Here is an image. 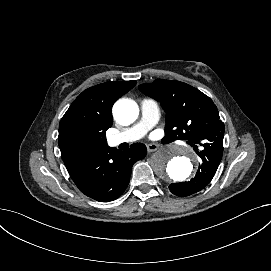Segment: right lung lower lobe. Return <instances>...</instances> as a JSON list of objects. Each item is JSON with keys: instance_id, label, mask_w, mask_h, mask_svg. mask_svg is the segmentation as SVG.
I'll use <instances>...</instances> for the list:
<instances>
[{"instance_id": "right-lung-lower-lobe-1", "label": "right lung lower lobe", "mask_w": 271, "mask_h": 271, "mask_svg": "<svg viewBox=\"0 0 271 271\" xmlns=\"http://www.w3.org/2000/svg\"><path fill=\"white\" fill-rule=\"evenodd\" d=\"M146 153V146L140 143L124 151L107 145L67 170L83 194L99 202H109L123 194L129 184L133 164L143 159Z\"/></svg>"}]
</instances>
